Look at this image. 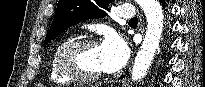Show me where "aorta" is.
<instances>
[{
  "mask_svg": "<svg viewBox=\"0 0 205 87\" xmlns=\"http://www.w3.org/2000/svg\"><path fill=\"white\" fill-rule=\"evenodd\" d=\"M147 19V31L142 46L135 58L132 79L142 80L147 74L162 36L164 16L158 0H137Z\"/></svg>",
  "mask_w": 205,
  "mask_h": 87,
  "instance_id": "762f6f07",
  "label": "aorta"
}]
</instances>
